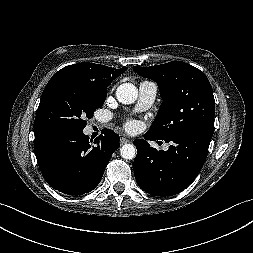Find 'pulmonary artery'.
Returning <instances> with one entry per match:
<instances>
[{
  "label": "pulmonary artery",
  "instance_id": "e3ab8cb5",
  "mask_svg": "<svg viewBox=\"0 0 253 253\" xmlns=\"http://www.w3.org/2000/svg\"><path fill=\"white\" fill-rule=\"evenodd\" d=\"M158 91V86L152 81H142L139 84V98L137 110H146L154 103ZM167 149V146H165Z\"/></svg>",
  "mask_w": 253,
  "mask_h": 253
}]
</instances>
